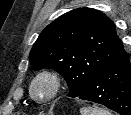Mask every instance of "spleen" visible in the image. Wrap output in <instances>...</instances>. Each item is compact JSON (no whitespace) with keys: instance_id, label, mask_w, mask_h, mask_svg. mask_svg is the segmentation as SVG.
<instances>
[{"instance_id":"1","label":"spleen","mask_w":131,"mask_h":115,"mask_svg":"<svg viewBox=\"0 0 131 115\" xmlns=\"http://www.w3.org/2000/svg\"><path fill=\"white\" fill-rule=\"evenodd\" d=\"M81 115H112L109 111L101 108H86L80 109Z\"/></svg>"}]
</instances>
